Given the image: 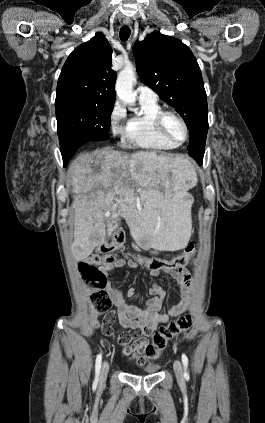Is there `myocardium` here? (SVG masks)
Segmentation results:
<instances>
[{"label": "myocardium", "mask_w": 265, "mask_h": 423, "mask_svg": "<svg viewBox=\"0 0 265 423\" xmlns=\"http://www.w3.org/2000/svg\"><path fill=\"white\" fill-rule=\"evenodd\" d=\"M170 116L176 118L182 124L184 128V138L182 140L174 139L167 131L166 119ZM155 127L164 139L176 145H181L185 143L189 138L190 130L186 120L179 113L173 110H162L161 112H159L155 118Z\"/></svg>", "instance_id": "f54148a6"}]
</instances>
